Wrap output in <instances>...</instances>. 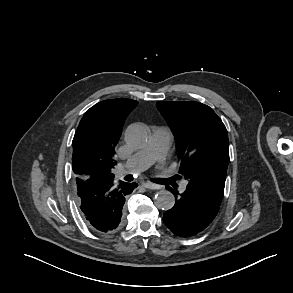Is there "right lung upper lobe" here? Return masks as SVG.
Returning <instances> with one entry per match:
<instances>
[{
  "label": "right lung upper lobe",
  "instance_id": "1",
  "mask_svg": "<svg viewBox=\"0 0 293 293\" xmlns=\"http://www.w3.org/2000/svg\"><path fill=\"white\" fill-rule=\"evenodd\" d=\"M138 102L126 98L105 100L83 115L73 138V172L76 179L114 178L111 168L115 146L126 116Z\"/></svg>",
  "mask_w": 293,
  "mask_h": 293
}]
</instances>
